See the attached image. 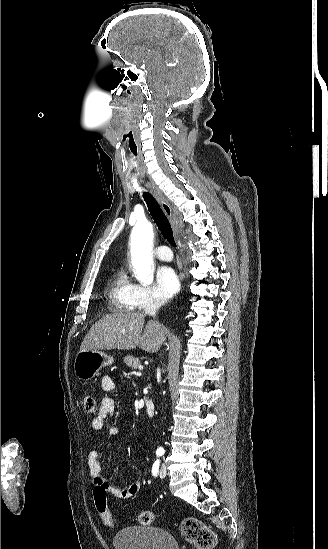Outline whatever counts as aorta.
Segmentation results:
<instances>
[{"instance_id": "762f6f07", "label": "aorta", "mask_w": 328, "mask_h": 549, "mask_svg": "<svg viewBox=\"0 0 328 549\" xmlns=\"http://www.w3.org/2000/svg\"><path fill=\"white\" fill-rule=\"evenodd\" d=\"M152 242V224L147 220L138 221L130 238L131 260L136 279L148 285L153 282Z\"/></svg>"}]
</instances>
